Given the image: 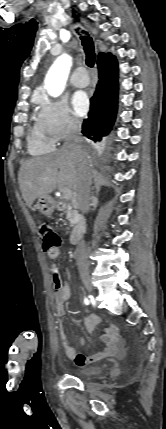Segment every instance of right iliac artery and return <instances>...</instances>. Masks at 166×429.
I'll list each match as a JSON object with an SVG mask.
<instances>
[{"label": "right iliac artery", "instance_id": "right-iliac-artery-1", "mask_svg": "<svg viewBox=\"0 0 166 429\" xmlns=\"http://www.w3.org/2000/svg\"><path fill=\"white\" fill-rule=\"evenodd\" d=\"M84 303H85L86 305H88L90 302H89V300H88L87 298H85V299H84Z\"/></svg>", "mask_w": 166, "mask_h": 429}]
</instances>
